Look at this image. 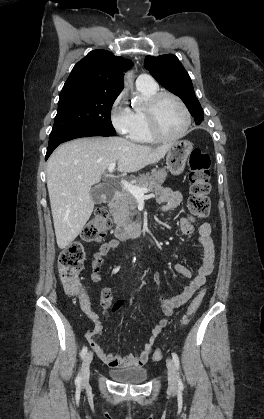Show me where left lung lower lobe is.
I'll list each match as a JSON object with an SVG mask.
<instances>
[{"mask_svg": "<svg viewBox=\"0 0 264 419\" xmlns=\"http://www.w3.org/2000/svg\"><path fill=\"white\" fill-rule=\"evenodd\" d=\"M203 119H204V117H201V118H199V119H194L195 120V123H196V125H199L202 121H203Z\"/></svg>", "mask_w": 264, "mask_h": 419, "instance_id": "0a47b994", "label": "left lung lower lobe"}]
</instances>
